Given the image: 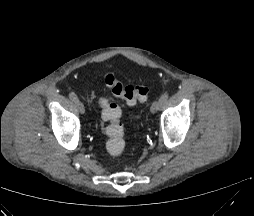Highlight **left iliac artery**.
<instances>
[{
	"label": "left iliac artery",
	"instance_id": "left-iliac-artery-1",
	"mask_svg": "<svg viewBox=\"0 0 254 216\" xmlns=\"http://www.w3.org/2000/svg\"><path fill=\"white\" fill-rule=\"evenodd\" d=\"M168 97H169L168 92H165V93L160 97L159 101H160L161 105H163V104L167 101Z\"/></svg>",
	"mask_w": 254,
	"mask_h": 216
}]
</instances>
